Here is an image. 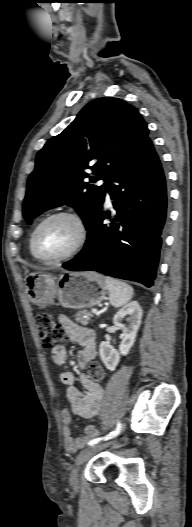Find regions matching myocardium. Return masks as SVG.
<instances>
[{"mask_svg": "<svg viewBox=\"0 0 192 527\" xmlns=\"http://www.w3.org/2000/svg\"><path fill=\"white\" fill-rule=\"evenodd\" d=\"M57 217H67L70 218L75 222L78 228V238L74 246L71 248L70 251H68L66 254L55 257V258H46L39 254L37 250V236L40 231V229L51 219L57 218ZM88 238V227L84 220V218L76 211L74 210H57L55 212L50 213L46 217H44L34 228L32 234H31V241H30V248L33 256L39 260L40 262L47 263V264H54L63 262L66 260H69L73 258L75 255H77L82 248L84 247L86 241Z\"/></svg>", "mask_w": 192, "mask_h": 527, "instance_id": "obj_1", "label": "myocardium"}]
</instances>
